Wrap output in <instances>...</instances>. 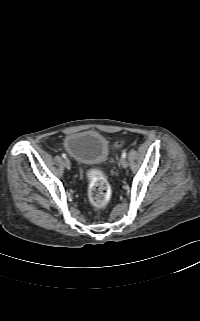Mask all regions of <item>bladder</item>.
I'll return each instance as SVG.
<instances>
[{
	"mask_svg": "<svg viewBox=\"0 0 200 321\" xmlns=\"http://www.w3.org/2000/svg\"><path fill=\"white\" fill-rule=\"evenodd\" d=\"M63 146L75 161L88 165L103 162L110 150L108 139L95 130L72 132L65 137Z\"/></svg>",
	"mask_w": 200,
	"mask_h": 321,
	"instance_id": "1",
	"label": "bladder"
}]
</instances>
